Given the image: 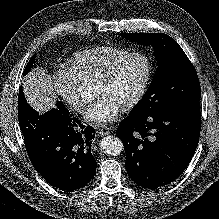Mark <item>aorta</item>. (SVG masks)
Returning <instances> with one entry per match:
<instances>
[{"label": "aorta", "mask_w": 219, "mask_h": 219, "mask_svg": "<svg viewBox=\"0 0 219 219\" xmlns=\"http://www.w3.org/2000/svg\"><path fill=\"white\" fill-rule=\"evenodd\" d=\"M100 147L109 155H119L123 150V143L118 137L106 136L100 141Z\"/></svg>", "instance_id": "1"}]
</instances>
